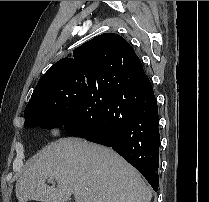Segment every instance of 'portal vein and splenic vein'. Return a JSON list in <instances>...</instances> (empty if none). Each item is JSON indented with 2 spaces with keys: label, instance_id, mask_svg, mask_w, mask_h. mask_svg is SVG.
<instances>
[{
  "label": "portal vein and splenic vein",
  "instance_id": "portal-vein-and-splenic-vein-1",
  "mask_svg": "<svg viewBox=\"0 0 209 202\" xmlns=\"http://www.w3.org/2000/svg\"><path fill=\"white\" fill-rule=\"evenodd\" d=\"M53 180H54L53 178H50V179H49V181H51V182H53Z\"/></svg>",
  "mask_w": 209,
  "mask_h": 202
}]
</instances>
